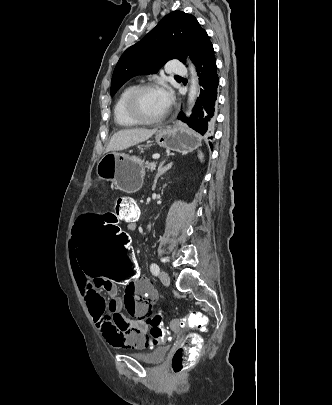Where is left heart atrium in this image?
Returning <instances> with one entry per match:
<instances>
[{"label":"left heart atrium","mask_w":332,"mask_h":405,"mask_svg":"<svg viewBox=\"0 0 332 405\" xmlns=\"http://www.w3.org/2000/svg\"><path fill=\"white\" fill-rule=\"evenodd\" d=\"M159 91L164 101V104L166 105L167 108H169L173 100V94L171 90L168 89L167 87H162L159 89Z\"/></svg>","instance_id":"39dd6f15"}]
</instances>
